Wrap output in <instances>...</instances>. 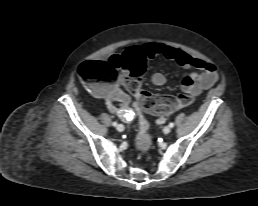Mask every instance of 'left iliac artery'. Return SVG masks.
<instances>
[{
	"label": "left iliac artery",
	"instance_id": "left-iliac-artery-1",
	"mask_svg": "<svg viewBox=\"0 0 258 206\" xmlns=\"http://www.w3.org/2000/svg\"><path fill=\"white\" fill-rule=\"evenodd\" d=\"M169 127H170V128H173V127H174V123H172V122L169 123Z\"/></svg>",
	"mask_w": 258,
	"mask_h": 206
}]
</instances>
